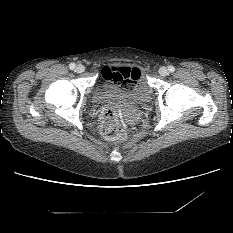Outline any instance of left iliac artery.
<instances>
[{
	"label": "left iliac artery",
	"mask_w": 233,
	"mask_h": 233,
	"mask_svg": "<svg viewBox=\"0 0 233 233\" xmlns=\"http://www.w3.org/2000/svg\"><path fill=\"white\" fill-rule=\"evenodd\" d=\"M168 70H169L170 72H174V71H175V68L171 65V66L168 67Z\"/></svg>",
	"instance_id": "left-iliac-artery-1"
}]
</instances>
